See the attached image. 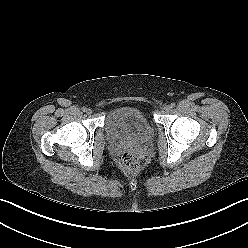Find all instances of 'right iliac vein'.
I'll use <instances>...</instances> for the list:
<instances>
[{"instance_id":"obj_1","label":"right iliac vein","mask_w":248,"mask_h":248,"mask_svg":"<svg viewBox=\"0 0 248 248\" xmlns=\"http://www.w3.org/2000/svg\"><path fill=\"white\" fill-rule=\"evenodd\" d=\"M86 113H87L88 115H90V114L92 113V110H91V109H87Z\"/></svg>"}]
</instances>
